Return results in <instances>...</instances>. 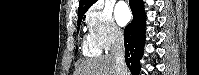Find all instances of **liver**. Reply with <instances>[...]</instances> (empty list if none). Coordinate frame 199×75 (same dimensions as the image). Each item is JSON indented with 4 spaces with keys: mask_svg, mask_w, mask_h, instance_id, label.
I'll list each match as a JSON object with an SVG mask.
<instances>
[{
    "mask_svg": "<svg viewBox=\"0 0 199 75\" xmlns=\"http://www.w3.org/2000/svg\"><path fill=\"white\" fill-rule=\"evenodd\" d=\"M115 60L111 55L83 61L74 75H116ZM128 75V71L127 74Z\"/></svg>",
    "mask_w": 199,
    "mask_h": 75,
    "instance_id": "liver-1",
    "label": "liver"
}]
</instances>
